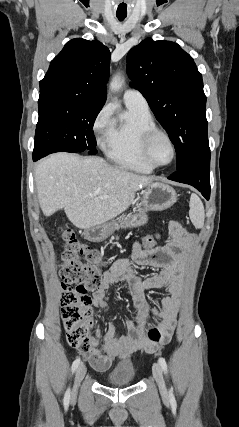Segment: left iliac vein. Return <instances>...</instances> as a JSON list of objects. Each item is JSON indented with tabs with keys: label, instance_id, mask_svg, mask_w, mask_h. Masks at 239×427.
<instances>
[{
	"label": "left iliac vein",
	"instance_id": "4c4485c4",
	"mask_svg": "<svg viewBox=\"0 0 239 427\" xmlns=\"http://www.w3.org/2000/svg\"><path fill=\"white\" fill-rule=\"evenodd\" d=\"M152 371H153V377L158 384L160 393L162 394V396L166 397L167 396V389H166V385H165V381H164V377H163V372H162V368H161L160 364L154 363L153 367H152Z\"/></svg>",
	"mask_w": 239,
	"mask_h": 427
}]
</instances>
